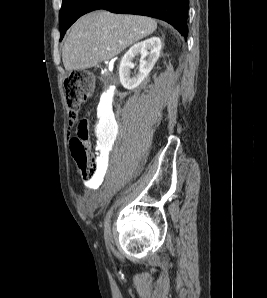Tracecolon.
Instances as JSON below:
<instances>
[{"label":"colon","instance_id":"obj_1","mask_svg":"<svg viewBox=\"0 0 267 298\" xmlns=\"http://www.w3.org/2000/svg\"><path fill=\"white\" fill-rule=\"evenodd\" d=\"M64 85L69 119L74 121L81 105L91 95L93 77L86 71H75L65 79ZM88 136L89 123L87 120H82L77 136L70 141V149L82 179L89 182L96 177L99 159L88 150L86 144Z\"/></svg>","mask_w":267,"mask_h":298}]
</instances>
